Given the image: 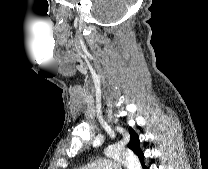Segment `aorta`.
<instances>
[{
    "label": "aorta",
    "mask_w": 208,
    "mask_h": 169,
    "mask_svg": "<svg viewBox=\"0 0 208 169\" xmlns=\"http://www.w3.org/2000/svg\"><path fill=\"white\" fill-rule=\"evenodd\" d=\"M104 153L107 157L121 161L127 169H141L139 159L131 152L118 145L108 146Z\"/></svg>",
    "instance_id": "obj_1"
}]
</instances>
